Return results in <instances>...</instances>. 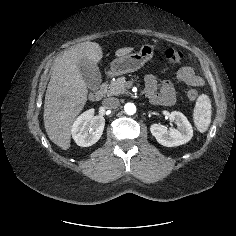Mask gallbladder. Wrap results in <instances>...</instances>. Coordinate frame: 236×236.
<instances>
[{
  "instance_id": "gallbladder-1",
  "label": "gallbladder",
  "mask_w": 236,
  "mask_h": 236,
  "mask_svg": "<svg viewBox=\"0 0 236 236\" xmlns=\"http://www.w3.org/2000/svg\"><path fill=\"white\" fill-rule=\"evenodd\" d=\"M78 67L87 87L92 91L98 90L101 84V73L97 64L82 58L78 62Z\"/></svg>"
}]
</instances>
